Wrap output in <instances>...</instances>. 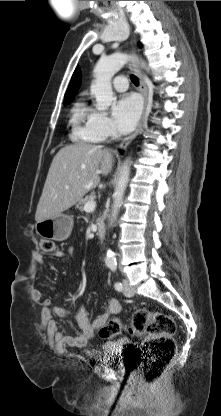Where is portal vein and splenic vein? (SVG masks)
Here are the masks:
<instances>
[{"mask_svg":"<svg viewBox=\"0 0 221 416\" xmlns=\"http://www.w3.org/2000/svg\"><path fill=\"white\" fill-rule=\"evenodd\" d=\"M95 207H96V202L94 200L88 201L84 205V211L85 212H92V211H94Z\"/></svg>","mask_w":221,"mask_h":416,"instance_id":"18ae733b","label":"portal vein and splenic vein"}]
</instances>
